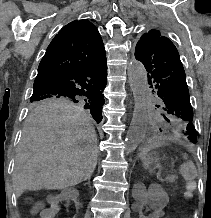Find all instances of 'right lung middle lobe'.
<instances>
[{"mask_svg":"<svg viewBox=\"0 0 211 218\" xmlns=\"http://www.w3.org/2000/svg\"><path fill=\"white\" fill-rule=\"evenodd\" d=\"M31 107L33 109H45V108H57V107H69L79 106L84 109H89L92 117L98 123L102 117V106L105 103L104 97H41L30 99Z\"/></svg>","mask_w":211,"mask_h":218,"instance_id":"1","label":"right lung middle lobe"}]
</instances>
